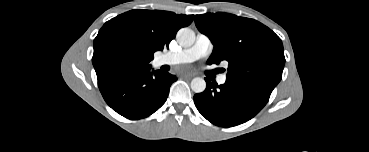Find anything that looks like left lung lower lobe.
<instances>
[{"label":"left lung lower lobe","mask_w":369,"mask_h":152,"mask_svg":"<svg viewBox=\"0 0 369 152\" xmlns=\"http://www.w3.org/2000/svg\"><path fill=\"white\" fill-rule=\"evenodd\" d=\"M206 89L194 96L198 111L211 123L232 127L253 118L268 102L272 88L227 80L223 85L205 78Z\"/></svg>","instance_id":"0a47b994"}]
</instances>
